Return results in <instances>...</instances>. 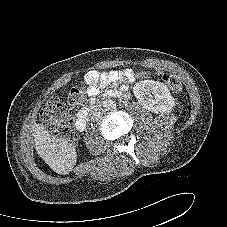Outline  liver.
<instances>
[{"instance_id":"obj_1","label":"liver","mask_w":227,"mask_h":227,"mask_svg":"<svg viewBox=\"0 0 227 227\" xmlns=\"http://www.w3.org/2000/svg\"><path fill=\"white\" fill-rule=\"evenodd\" d=\"M34 141L38 155L54 172L68 174L75 166V148L65 139L52 136L44 125H35Z\"/></svg>"}]
</instances>
